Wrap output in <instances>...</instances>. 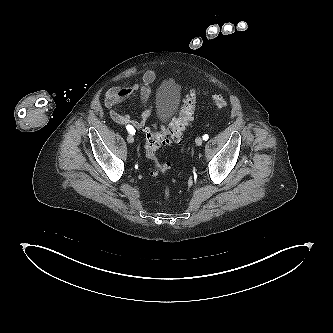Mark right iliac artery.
<instances>
[{
	"label": "right iliac artery",
	"instance_id": "right-iliac-artery-1",
	"mask_svg": "<svg viewBox=\"0 0 333 333\" xmlns=\"http://www.w3.org/2000/svg\"><path fill=\"white\" fill-rule=\"evenodd\" d=\"M126 129L130 134H132V135L135 134V129L133 127L127 126Z\"/></svg>",
	"mask_w": 333,
	"mask_h": 333
}]
</instances>
